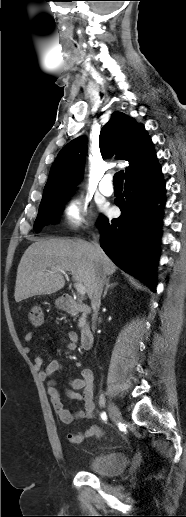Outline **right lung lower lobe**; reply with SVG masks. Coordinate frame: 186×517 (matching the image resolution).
I'll return each mask as SVG.
<instances>
[{
	"mask_svg": "<svg viewBox=\"0 0 186 517\" xmlns=\"http://www.w3.org/2000/svg\"><path fill=\"white\" fill-rule=\"evenodd\" d=\"M164 203L165 184L155 162L126 179L123 195L115 200L121 216L111 221L101 216L97 223L105 253L152 291L156 287L157 242Z\"/></svg>",
	"mask_w": 186,
	"mask_h": 517,
	"instance_id": "right-lung-lower-lobe-1",
	"label": "right lung lower lobe"
}]
</instances>
